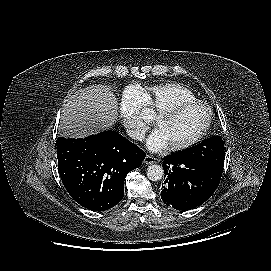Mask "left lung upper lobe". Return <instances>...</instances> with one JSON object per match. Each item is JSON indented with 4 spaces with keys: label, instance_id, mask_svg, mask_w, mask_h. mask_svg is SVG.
<instances>
[{
    "label": "left lung upper lobe",
    "instance_id": "left-lung-upper-lobe-1",
    "mask_svg": "<svg viewBox=\"0 0 271 271\" xmlns=\"http://www.w3.org/2000/svg\"><path fill=\"white\" fill-rule=\"evenodd\" d=\"M175 154L181 158L196 160L222 174L225 159V147L224 141L219 136H212L193 147Z\"/></svg>",
    "mask_w": 271,
    "mask_h": 271
}]
</instances>
